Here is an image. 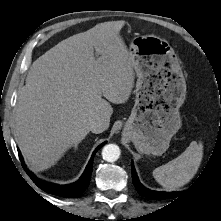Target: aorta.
I'll list each match as a JSON object with an SVG mask.
<instances>
[{
    "label": "aorta",
    "mask_w": 221,
    "mask_h": 221,
    "mask_svg": "<svg viewBox=\"0 0 221 221\" xmlns=\"http://www.w3.org/2000/svg\"><path fill=\"white\" fill-rule=\"evenodd\" d=\"M120 156V149L115 144H108L102 150V157L107 162H115Z\"/></svg>",
    "instance_id": "aorta-1"
}]
</instances>
